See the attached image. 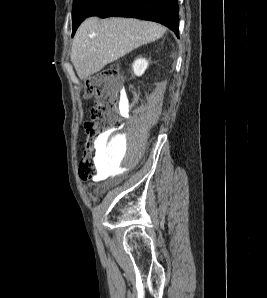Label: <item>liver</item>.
I'll list each match as a JSON object with an SVG mask.
<instances>
[{"label":"liver","mask_w":267,"mask_h":298,"mask_svg":"<svg viewBox=\"0 0 267 298\" xmlns=\"http://www.w3.org/2000/svg\"><path fill=\"white\" fill-rule=\"evenodd\" d=\"M154 22L130 18H87L79 26L71 49V62L80 79L102 70L127 53L163 36Z\"/></svg>","instance_id":"1"}]
</instances>
